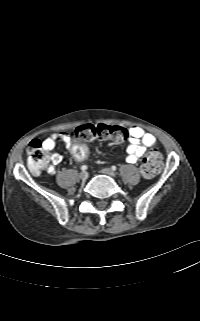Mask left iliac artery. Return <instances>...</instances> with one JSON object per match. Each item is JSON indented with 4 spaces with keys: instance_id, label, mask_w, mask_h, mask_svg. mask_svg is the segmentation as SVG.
<instances>
[{
    "instance_id": "44dca946",
    "label": "left iliac artery",
    "mask_w": 200,
    "mask_h": 321,
    "mask_svg": "<svg viewBox=\"0 0 200 321\" xmlns=\"http://www.w3.org/2000/svg\"><path fill=\"white\" fill-rule=\"evenodd\" d=\"M111 169H112L113 171H115L117 168H116V166H112Z\"/></svg>"
}]
</instances>
